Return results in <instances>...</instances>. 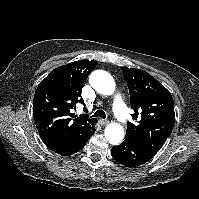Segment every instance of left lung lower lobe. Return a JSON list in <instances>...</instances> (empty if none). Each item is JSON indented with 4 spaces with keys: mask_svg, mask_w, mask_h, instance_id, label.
Listing matches in <instances>:
<instances>
[{
    "mask_svg": "<svg viewBox=\"0 0 199 199\" xmlns=\"http://www.w3.org/2000/svg\"><path fill=\"white\" fill-rule=\"evenodd\" d=\"M112 157L126 167H135L148 162L155 153L126 138L111 150Z\"/></svg>",
    "mask_w": 199,
    "mask_h": 199,
    "instance_id": "left-lung-lower-lobe-1",
    "label": "left lung lower lobe"
}]
</instances>
